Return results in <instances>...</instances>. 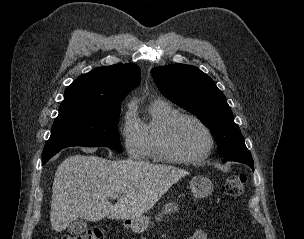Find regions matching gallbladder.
<instances>
[{
    "mask_svg": "<svg viewBox=\"0 0 304 239\" xmlns=\"http://www.w3.org/2000/svg\"><path fill=\"white\" fill-rule=\"evenodd\" d=\"M87 229V223L82 219H76L68 225V231L71 234H82Z\"/></svg>",
    "mask_w": 304,
    "mask_h": 239,
    "instance_id": "1",
    "label": "gallbladder"
}]
</instances>
